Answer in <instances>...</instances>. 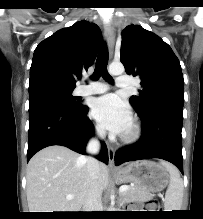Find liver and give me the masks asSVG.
<instances>
[{
	"mask_svg": "<svg viewBox=\"0 0 203 219\" xmlns=\"http://www.w3.org/2000/svg\"><path fill=\"white\" fill-rule=\"evenodd\" d=\"M27 201L30 212H79L90 193L86 157L64 146L37 152L27 166ZM109 183L107 166L99 162L97 188ZM72 194L73 199L66 196Z\"/></svg>",
	"mask_w": 203,
	"mask_h": 219,
	"instance_id": "obj_1",
	"label": "liver"
}]
</instances>
